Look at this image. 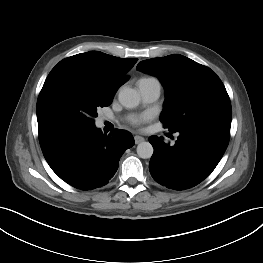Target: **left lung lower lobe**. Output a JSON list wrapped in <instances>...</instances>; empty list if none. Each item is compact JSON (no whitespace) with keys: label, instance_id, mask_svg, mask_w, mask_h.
Masks as SVG:
<instances>
[{"label":"left lung lower lobe","instance_id":"1","mask_svg":"<svg viewBox=\"0 0 263 263\" xmlns=\"http://www.w3.org/2000/svg\"><path fill=\"white\" fill-rule=\"evenodd\" d=\"M175 132L179 136L173 146L162 137H149L154 148L149 170L159 184L184 190L202 182L215 169L228 146L230 127L206 120Z\"/></svg>","mask_w":263,"mask_h":263}]
</instances>
